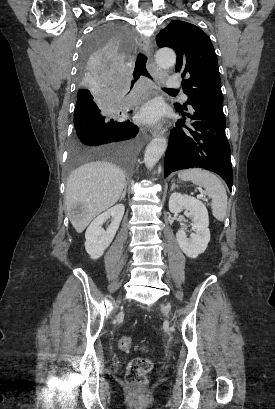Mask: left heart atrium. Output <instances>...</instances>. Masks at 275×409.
Masks as SVG:
<instances>
[{"label": "left heart atrium", "instance_id": "obj_1", "mask_svg": "<svg viewBox=\"0 0 275 409\" xmlns=\"http://www.w3.org/2000/svg\"><path fill=\"white\" fill-rule=\"evenodd\" d=\"M159 116V110L158 108L154 106H148L144 109L142 112V118L147 120V121H153L157 119Z\"/></svg>", "mask_w": 275, "mask_h": 409}]
</instances>
